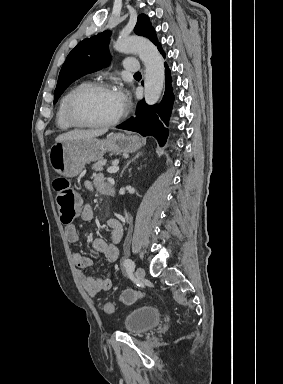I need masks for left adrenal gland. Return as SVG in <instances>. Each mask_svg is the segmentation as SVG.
I'll return each mask as SVG.
<instances>
[{
  "label": "left adrenal gland",
  "instance_id": "left-adrenal-gland-1",
  "mask_svg": "<svg viewBox=\"0 0 283 384\" xmlns=\"http://www.w3.org/2000/svg\"><path fill=\"white\" fill-rule=\"evenodd\" d=\"M139 156H142V152H138V154H136L135 158H133V160H130V162H127L125 168H123L121 174H120V178H122L126 168H128L129 164H131V162H134V160H136V158H139Z\"/></svg>",
  "mask_w": 283,
  "mask_h": 384
}]
</instances>
